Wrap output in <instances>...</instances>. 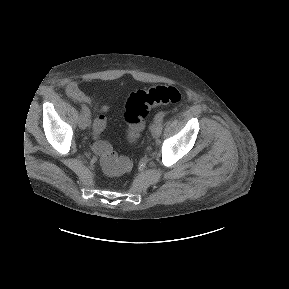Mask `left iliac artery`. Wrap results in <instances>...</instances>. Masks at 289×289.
Instances as JSON below:
<instances>
[{"label": "left iliac artery", "mask_w": 289, "mask_h": 289, "mask_svg": "<svg viewBox=\"0 0 289 289\" xmlns=\"http://www.w3.org/2000/svg\"><path fill=\"white\" fill-rule=\"evenodd\" d=\"M165 115H166V113L164 111H161V112L156 114L155 120L162 121L163 118L165 117Z\"/></svg>", "instance_id": "left-iliac-artery-1"}]
</instances>
